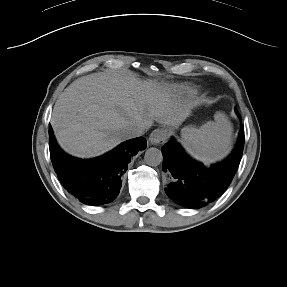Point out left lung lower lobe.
<instances>
[{"mask_svg":"<svg viewBox=\"0 0 287 287\" xmlns=\"http://www.w3.org/2000/svg\"><path fill=\"white\" fill-rule=\"evenodd\" d=\"M243 146L244 126L233 153L222 163L206 167L190 159L172 139L161 148L164 153L162 166L168 176L167 196L178 205L194 209L213 202L230 185L241 160Z\"/></svg>","mask_w":287,"mask_h":287,"instance_id":"obj_1","label":"left lung lower lobe"}]
</instances>
